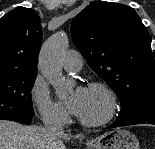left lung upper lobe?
I'll use <instances>...</instances> for the list:
<instances>
[{
    "label": "left lung upper lobe",
    "instance_id": "obj_1",
    "mask_svg": "<svg viewBox=\"0 0 155 149\" xmlns=\"http://www.w3.org/2000/svg\"><path fill=\"white\" fill-rule=\"evenodd\" d=\"M71 35L88 65L116 92L122 109L155 93L151 38L134 9L93 2L74 18Z\"/></svg>",
    "mask_w": 155,
    "mask_h": 149
}]
</instances>
